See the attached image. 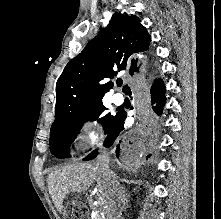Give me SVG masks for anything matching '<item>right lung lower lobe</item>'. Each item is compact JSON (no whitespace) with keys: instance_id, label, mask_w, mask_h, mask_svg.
<instances>
[{"instance_id":"1","label":"right lung lower lobe","mask_w":221,"mask_h":219,"mask_svg":"<svg viewBox=\"0 0 221 219\" xmlns=\"http://www.w3.org/2000/svg\"><path fill=\"white\" fill-rule=\"evenodd\" d=\"M125 93H127L129 96H131L130 89L127 87L125 90ZM150 95L152 104L153 103H159V105L153 106V110L156 114H161L162 112V106L165 104V86L160 79H156L150 89ZM127 117L126 112H118L115 116V120L107 132V137L104 141L105 147H111L113 146V149L116 153L117 157H121V159H127L130 155H135V144L129 142L130 144H127L126 142L122 141L119 137V134L124 129V120ZM149 124V122L147 123ZM144 137L138 136V139L136 141H142ZM135 143V142H134ZM98 152L97 150L92 151L90 154H88L83 160H92L97 156ZM150 157V155H147L146 158Z\"/></svg>"}]
</instances>
